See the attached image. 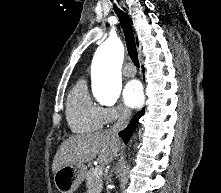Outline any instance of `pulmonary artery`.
<instances>
[{
  "mask_svg": "<svg viewBox=\"0 0 221 193\" xmlns=\"http://www.w3.org/2000/svg\"><path fill=\"white\" fill-rule=\"evenodd\" d=\"M123 75L125 77H134L136 75V70L131 64H127L123 68Z\"/></svg>",
  "mask_w": 221,
  "mask_h": 193,
  "instance_id": "e3ab8cb5",
  "label": "pulmonary artery"
}]
</instances>
